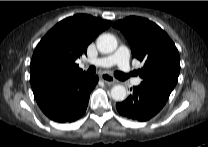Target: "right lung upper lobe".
Listing matches in <instances>:
<instances>
[{"label":"right lung upper lobe","instance_id":"obj_1","mask_svg":"<svg viewBox=\"0 0 208 147\" xmlns=\"http://www.w3.org/2000/svg\"><path fill=\"white\" fill-rule=\"evenodd\" d=\"M110 25L108 20L85 14L57 23L33 53L30 81L34 96L63 87L84 75L75 60L87 54L88 45Z\"/></svg>","mask_w":208,"mask_h":147}]
</instances>
